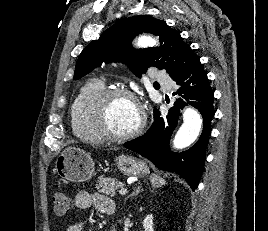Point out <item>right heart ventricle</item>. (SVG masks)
I'll list each match as a JSON object with an SVG mask.
<instances>
[{"mask_svg":"<svg viewBox=\"0 0 268 231\" xmlns=\"http://www.w3.org/2000/svg\"><path fill=\"white\" fill-rule=\"evenodd\" d=\"M106 88L99 79L88 80L72 101L69 114L73 133L80 139L93 143H102L104 138L98 135L93 125L91 110L96 96Z\"/></svg>","mask_w":268,"mask_h":231,"instance_id":"1","label":"right heart ventricle"}]
</instances>
